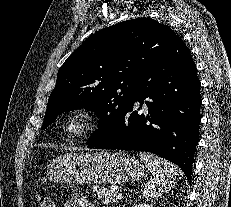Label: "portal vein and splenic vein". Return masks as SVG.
I'll return each mask as SVG.
<instances>
[{
    "label": "portal vein and splenic vein",
    "instance_id": "obj_1",
    "mask_svg": "<svg viewBox=\"0 0 231 207\" xmlns=\"http://www.w3.org/2000/svg\"><path fill=\"white\" fill-rule=\"evenodd\" d=\"M122 195H123V194H122L121 192H118V193H117V198H122Z\"/></svg>",
    "mask_w": 231,
    "mask_h": 207
}]
</instances>
